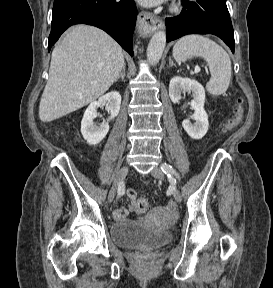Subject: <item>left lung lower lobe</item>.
Masks as SVG:
<instances>
[{"instance_id":"left-lung-lower-lobe-1","label":"left lung lower lobe","mask_w":273,"mask_h":288,"mask_svg":"<svg viewBox=\"0 0 273 288\" xmlns=\"http://www.w3.org/2000/svg\"><path fill=\"white\" fill-rule=\"evenodd\" d=\"M182 12L166 18L167 42L187 34H214L234 53V30L226 0H182Z\"/></svg>"}]
</instances>
